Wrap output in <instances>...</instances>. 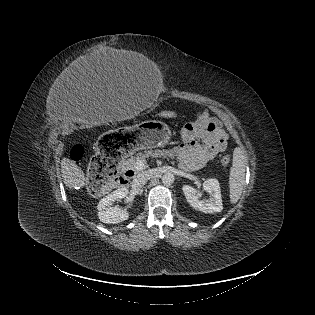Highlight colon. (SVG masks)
Listing matches in <instances>:
<instances>
[{
	"label": "colon",
	"mask_w": 315,
	"mask_h": 315,
	"mask_svg": "<svg viewBox=\"0 0 315 315\" xmlns=\"http://www.w3.org/2000/svg\"><path fill=\"white\" fill-rule=\"evenodd\" d=\"M165 118H173L174 112H165L162 114ZM84 154L82 146H75L72 149L71 157L75 161H79ZM230 156L224 155L221 158V163L224 166L229 165ZM117 176V158L107 157L101 152L95 155L89 167V189L93 194H101L106 191L112 183L116 180Z\"/></svg>",
	"instance_id": "1"
}]
</instances>
